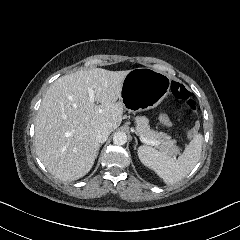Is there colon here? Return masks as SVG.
<instances>
[{
	"label": "colon",
	"mask_w": 240,
	"mask_h": 240,
	"mask_svg": "<svg viewBox=\"0 0 240 240\" xmlns=\"http://www.w3.org/2000/svg\"><path fill=\"white\" fill-rule=\"evenodd\" d=\"M174 92L176 95L181 98L182 100H188L189 99V91L184 86H174L173 87ZM193 108V106H191ZM158 121L162 122L165 125H168L169 128L173 127V120L170 119V115L166 113H159L158 114ZM198 132V125H193V129H190V132H186V140H191V137L195 136V133Z\"/></svg>",
	"instance_id": "colon-1"
}]
</instances>
